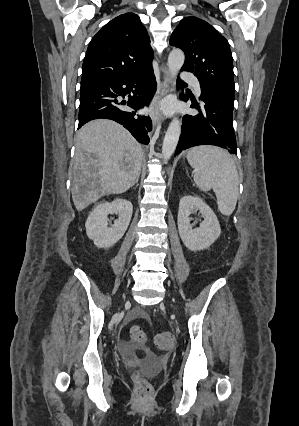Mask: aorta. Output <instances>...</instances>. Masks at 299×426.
<instances>
[{
    "instance_id": "aorta-1",
    "label": "aorta",
    "mask_w": 299,
    "mask_h": 426,
    "mask_svg": "<svg viewBox=\"0 0 299 426\" xmlns=\"http://www.w3.org/2000/svg\"><path fill=\"white\" fill-rule=\"evenodd\" d=\"M185 55L180 49H173L168 56V70L170 76L175 84L177 74L184 64ZM181 121L178 118H173L169 127L165 133V137L162 144V156L164 161H168L174 153L179 137L181 134Z\"/></svg>"
}]
</instances>
